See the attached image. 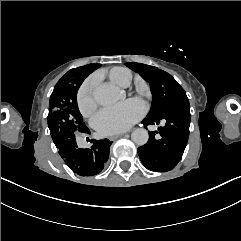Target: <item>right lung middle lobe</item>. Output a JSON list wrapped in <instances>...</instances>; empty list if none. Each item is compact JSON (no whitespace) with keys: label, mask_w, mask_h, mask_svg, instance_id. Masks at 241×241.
<instances>
[{"label":"right lung middle lobe","mask_w":241,"mask_h":241,"mask_svg":"<svg viewBox=\"0 0 241 241\" xmlns=\"http://www.w3.org/2000/svg\"><path fill=\"white\" fill-rule=\"evenodd\" d=\"M101 64H88L68 71L55 85L49 101L48 127L55 146L76 142L80 133H88L77 105V91L89 73Z\"/></svg>","instance_id":"right-lung-middle-lobe-1"}]
</instances>
